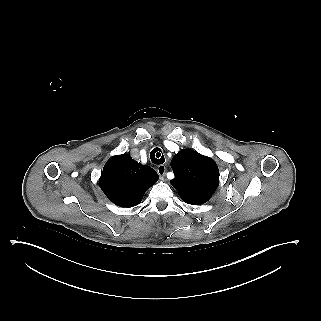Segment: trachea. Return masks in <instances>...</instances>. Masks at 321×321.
<instances>
[{
  "mask_svg": "<svg viewBox=\"0 0 321 321\" xmlns=\"http://www.w3.org/2000/svg\"><path fill=\"white\" fill-rule=\"evenodd\" d=\"M150 159L153 164L160 165L165 162L162 151L159 148H154L150 153Z\"/></svg>",
  "mask_w": 321,
  "mask_h": 321,
  "instance_id": "trachea-1",
  "label": "trachea"
}]
</instances>
